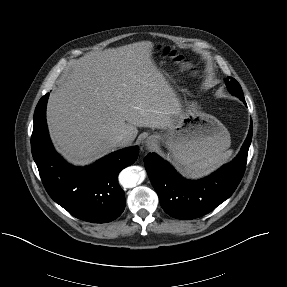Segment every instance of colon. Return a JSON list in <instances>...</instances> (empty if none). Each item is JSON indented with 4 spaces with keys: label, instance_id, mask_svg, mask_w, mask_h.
<instances>
[{
    "label": "colon",
    "instance_id": "colon-1",
    "mask_svg": "<svg viewBox=\"0 0 287 287\" xmlns=\"http://www.w3.org/2000/svg\"><path fill=\"white\" fill-rule=\"evenodd\" d=\"M165 54L169 55L171 58H173L177 63L180 64L181 67L185 69H190L191 65L188 61L184 59L183 56L177 54L175 51L171 50L170 48L164 49Z\"/></svg>",
    "mask_w": 287,
    "mask_h": 287
}]
</instances>
